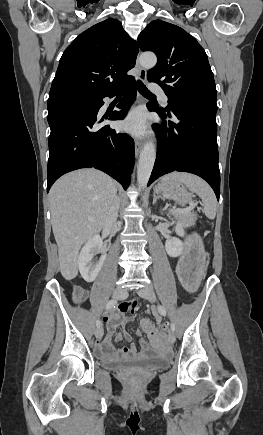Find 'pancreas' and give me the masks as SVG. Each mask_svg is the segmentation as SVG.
<instances>
[{"label": "pancreas", "mask_w": 263, "mask_h": 435, "mask_svg": "<svg viewBox=\"0 0 263 435\" xmlns=\"http://www.w3.org/2000/svg\"><path fill=\"white\" fill-rule=\"evenodd\" d=\"M172 214L191 225H194L197 220V214L193 211H181L179 209H173Z\"/></svg>", "instance_id": "pancreas-1"}]
</instances>
